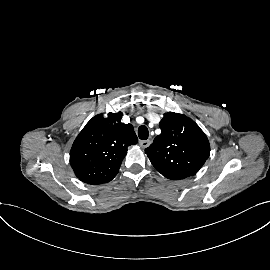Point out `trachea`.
<instances>
[{
	"instance_id": "trachea-1",
	"label": "trachea",
	"mask_w": 270,
	"mask_h": 270,
	"mask_svg": "<svg viewBox=\"0 0 270 270\" xmlns=\"http://www.w3.org/2000/svg\"><path fill=\"white\" fill-rule=\"evenodd\" d=\"M148 135V128L145 125H142L138 128V136L141 140H146L148 138Z\"/></svg>"
}]
</instances>
